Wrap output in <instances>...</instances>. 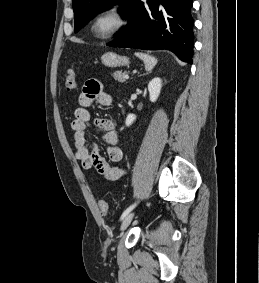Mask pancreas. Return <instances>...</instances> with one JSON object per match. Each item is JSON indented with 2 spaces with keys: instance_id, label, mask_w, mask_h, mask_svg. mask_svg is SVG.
I'll return each instance as SVG.
<instances>
[{
  "instance_id": "1",
  "label": "pancreas",
  "mask_w": 259,
  "mask_h": 283,
  "mask_svg": "<svg viewBox=\"0 0 259 283\" xmlns=\"http://www.w3.org/2000/svg\"><path fill=\"white\" fill-rule=\"evenodd\" d=\"M125 75H126V72H122V71H117L112 74L113 78L117 80L118 82H125L126 81L124 77Z\"/></svg>"
}]
</instances>
